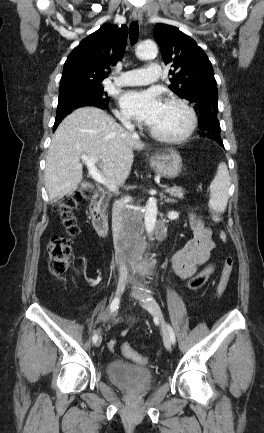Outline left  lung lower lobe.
<instances>
[{
  "instance_id": "0a47b994",
  "label": "left lung lower lobe",
  "mask_w": 264,
  "mask_h": 433,
  "mask_svg": "<svg viewBox=\"0 0 264 433\" xmlns=\"http://www.w3.org/2000/svg\"><path fill=\"white\" fill-rule=\"evenodd\" d=\"M199 127L201 129V136L204 137L205 132L207 130H213L220 127L219 121L217 119V114L211 112L200 115L199 117ZM216 141V140H215ZM217 142L223 147L222 140H217Z\"/></svg>"
}]
</instances>
